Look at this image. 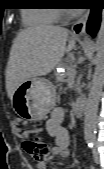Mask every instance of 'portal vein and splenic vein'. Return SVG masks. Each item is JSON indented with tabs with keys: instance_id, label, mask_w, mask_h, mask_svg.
I'll return each mask as SVG.
<instances>
[{
	"instance_id": "18ae733b",
	"label": "portal vein and splenic vein",
	"mask_w": 104,
	"mask_h": 169,
	"mask_svg": "<svg viewBox=\"0 0 104 169\" xmlns=\"http://www.w3.org/2000/svg\"><path fill=\"white\" fill-rule=\"evenodd\" d=\"M76 72H77V71H76L75 68H72V69H71V75H72V76H74V75L76 74Z\"/></svg>"
}]
</instances>
